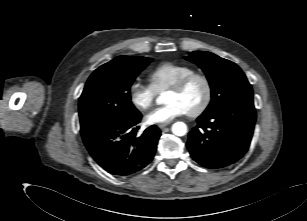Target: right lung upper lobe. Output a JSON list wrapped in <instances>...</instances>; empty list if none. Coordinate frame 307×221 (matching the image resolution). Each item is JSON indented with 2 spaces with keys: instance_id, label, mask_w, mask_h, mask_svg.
<instances>
[{
  "instance_id": "right-lung-upper-lobe-1",
  "label": "right lung upper lobe",
  "mask_w": 307,
  "mask_h": 221,
  "mask_svg": "<svg viewBox=\"0 0 307 221\" xmlns=\"http://www.w3.org/2000/svg\"><path fill=\"white\" fill-rule=\"evenodd\" d=\"M132 57H135V56H131V57L119 56V57L115 58L114 60H118V59H121V58H125V59H127V58H132Z\"/></svg>"
}]
</instances>
